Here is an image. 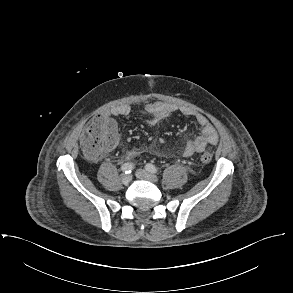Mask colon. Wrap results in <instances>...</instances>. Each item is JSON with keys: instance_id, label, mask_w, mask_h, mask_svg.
I'll list each match as a JSON object with an SVG mask.
<instances>
[{"instance_id": "obj_1", "label": "colon", "mask_w": 293, "mask_h": 293, "mask_svg": "<svg viewBox=\"0 0 293 293\" xmlns=\"http://www.w3.org/2000/svg\"><path fill=\"white\" fill-rule=\"evenodd\" d=\"M118 130L116 122L105 116H94L86 125L81 138V148L85 156L90 159H99L102 153L116 145ZM213 151L209 148L200 156V161L209 163Z\"/></svg>"}]
</instances>
